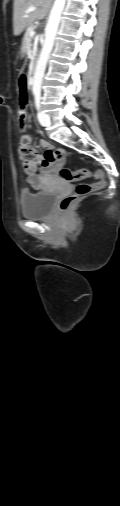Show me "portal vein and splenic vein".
I'll return each mask as SVG.
<instances>
[{"label": "portal vein and splenic vein", "mask_w": 120, "mask_h": 506, "mask_svg": "<svg viewBox=\"0 0 120 506\" xmlns=\"http://www.w3.org/2000/svg\"><path fill=\"white\" fill-rule=\"evenodd\" d=\"M36 10V7H29L27 10H26V13H30V12H33ZM34 35V30H31L30 31V36H33Z\"/></svg>", "instance_id": "18ae733b"}]
</instances>
